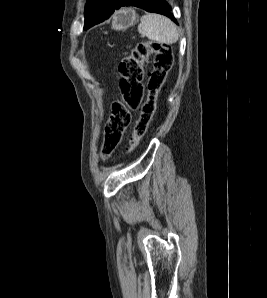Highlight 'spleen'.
<instances>
[{"mask_svg": "<svg viewBox=\"0 0 267 298\" xmlns=\"http://www.w3.org/2000/svg\"><path fill=\"white\" fill-rule=\"evenodd\" d=\"M138 32L152 41L174 44L179 39L177 26L167 17L149 13L141 17Z\"/></svg>", "mask_w": 267, "mask_h": 298, "instance_id": "1", "label": "spleen"}]
</instances>
